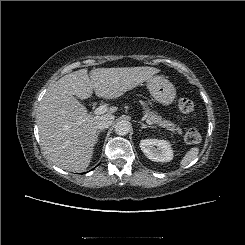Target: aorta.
I'll return each mask as SVG.
<instances>
[{
	"instance_id": "1",
	"label": "aorta",
	"mask_w": 245,
	"mask_h": 245,
	"mask_svg": "<svg viewBox=\"0 0 245 245\" xmlns=\"http://www.w3.org/2000/svg\"><path fill=\"white\" fill-rule=\"evenodd\" d=\"M131 130V123L127 120H120L115 124V132L117 135L125 136Z\"/></svg>"
}]
</instances>
